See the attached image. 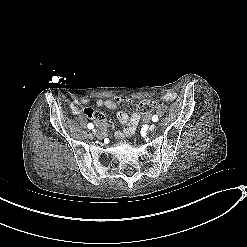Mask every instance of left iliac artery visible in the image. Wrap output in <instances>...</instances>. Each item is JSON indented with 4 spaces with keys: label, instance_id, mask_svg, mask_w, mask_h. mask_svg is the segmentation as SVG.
Masks as SVG:
<instances>
[{
    "label": "left iliac artery",
    "instance_id": "left-iliac-artery-1",
    "mask_svg": "<svg viewBox=\"0 0 247 247\" xmlns=\"http://www.w3.org/2000/svg\"><path fill=\"white\" fill-rule=\"evenodd\" d=\"M157 120H158V116H157V115H154V116L152 117V121H153V122H157Z\"/></svg>",
    "mask_w": 247,
    "mask_h": 247
}]
</instances>
